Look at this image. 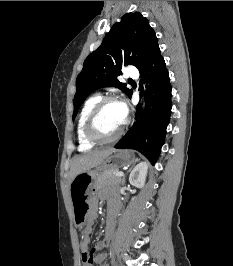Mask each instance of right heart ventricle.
Returning <instances> with one entry per match:
<instances>
[{"instance_id":"1","label":"right heart ventricle","mask_w":233,"mask_h":266,"mask_svg":"<svg viewBox=\"0 0 233 266\" xmlns=\"http://www.w3.org/2000/svg\"><path fill=\"white\" fill-rule=\"evenodd\" d=\"M101 95L100 94H95L91 97H89L81 111L78 117V121H77V139H78V143H79V149L82 151H86L91 149L92 147H94L95 143L90 142L84 134V125L87 119V116L90 112V110L93 108V106L101 99Z\"/></svg>"}]
</instances>
